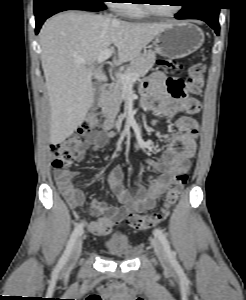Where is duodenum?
Masks as SVG:
<instances>
[{
    "label": "duodenum",
    "instance_id": "410a0bca",
    "mask_svg": "<svg viewBox=\"0 0 246 300\" xmlns=\"http://www.w3.org/2000/svg\"><path fill=\"white\" fill-rule=\"evenodd\" d=\"M109 91V85L108 84H104L103 85V88H102V92L103 94H107V92ZM111 126V122L110 121H107L106 122V127H110Z\"/></svg>",
    "mask_w": 246,
    "mask_h": 300
}]
</instances>
